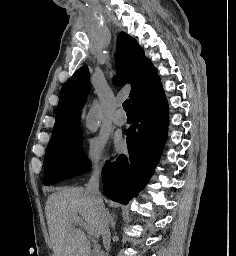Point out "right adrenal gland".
<instances>
[{
	"label": "right adrenal gland",
	"mask_w": 236,
	"mask_h": 256,
	"mask_svg": "<svg viewBox=\"0 0 236 256\" xmlns=\"http://www.w3.org/2000/svg\"><path fill=\"white\" fill-rule=\"evenodd\" d=\"M106 214H107V216L110 220L111 228H115V220H114L115 216H114V214H109V210H106Z\"/></svg>",
	"instance_id": "obj_1"
}]
</instances>
